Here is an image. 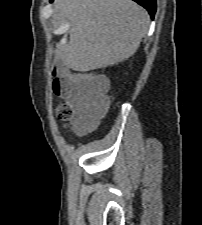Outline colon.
Here are the masks:
<instances>
[{"label": "colon", "instance_id": "colon-1", "mask_svg": "<svg viewBox=\"0 0 202 225\" xmlns=\"http://www.w3.org/2000/svg\"><path fill=\"white\" fill-rule=\"evenodd\" d=\"M52 75L54 77L53 91L59 96L72 93L81 97L85 101L90 116L102 114L107 109L108 86L103 80L84 73L60 76L55 68L52 70ZM56 116L62 122H69L73 117V109L69 104L62 103L56 108ZM78 127L82 128L83 123H79Z\"/></svg>", "mask_w": 202, "mask_h": 225}]
</instances>
